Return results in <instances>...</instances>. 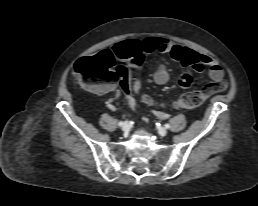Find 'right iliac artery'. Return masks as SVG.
<instances>
[{"label": "right iliac artery", "mask_w": 258, "mask_h": 206, "mask_svg": "<svg viewBox=\"0 0 258 206\" xmlns=\"http://www.w3.org/2000/svg\"><path fill=\"white\" fill-rule=\"evenodd\" d=\"M123 124H124V122H122V121H120V122L118 123L119 126H122Z\"/></svg>", "instance_id": "1"}]
</instances>
